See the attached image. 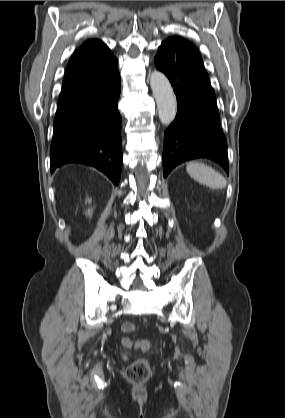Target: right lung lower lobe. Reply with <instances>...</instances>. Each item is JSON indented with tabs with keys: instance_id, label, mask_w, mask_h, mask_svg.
I'll use <instances>...</instances> for the list:
<instances>
[{
	"instance_id": "98d812e1",
	"label": "right lung lower lobe",
	"mask_w": 285,
	"mask_h": 418,
	"mask_svg": "<svg viewBox=\"0 0 285 418\" xmlns=\"http://www.w3.org/2000/svg\"><path fill=\"white\" fill-rule=\"evenodd\" d=\"M117 71L97 86L58 103L50 147L51 172L67 163L94 166L115 185L121 176V123Z\"/></svg>"
}]
</instances>
